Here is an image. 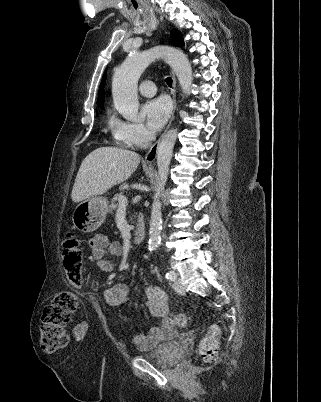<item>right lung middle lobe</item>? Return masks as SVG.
Segmentation results:
<instances>
[{"instance_id":"right-lung-middle-lobe-1","label":"right lung middle lobe","mask_w":321,"mask_h":402,"mask_svg":"<svg viewBox=\"0 0 321 402\" xmlns=\"http://www.w3.org/2000/svg\"><path fill=\"white\" fill-rule=\"evenodd\" d=\"M99 108L103 109V106H100Z\"/></svg>"}]
</instances>
